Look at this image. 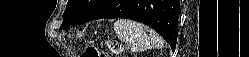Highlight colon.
Returning a JSON list of instances; mask_svg holds the SVG:
<instances>
[{
    "label": "colon",
    "instance_id": "1",
    "mask_svg": "<svg viewBox=\"0 0 249 57\" xmlns=\"http://www.w3.org/2000/svg\"><path fill=\"white\" fill-rule=\"evenodd\" d=\"M82 57H101V54L98 49L90 47L84 51Z\"/></svg>",
    "mask_w": 249,
    "mask_h": 57
}]
</instances>
